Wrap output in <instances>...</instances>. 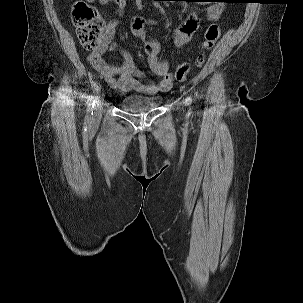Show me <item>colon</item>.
<instances>
[{"mask_svg": "<svg viewBox=\"0 0 303 303\" xmlns=\"http://www.w3.org/2000/svg\"><path fill=\"white\" fill-rule=\"evenodd\" d=\"M72 20L77 30V36L86 49H94L100 45L102 36L105 33V25L98 12L88 3L78 1L72 9ZM220 28L217 24H211L205 33V40L201 44L203 51L211 50L220 38ZM203 56L197 61L201 65ZM190 71L187 63H183L176 69L175 77L178 81H183Z\"/></svg>", "mask_w": 303, "mask_h": 303, "instance_id": "obj_1", "label": "colon"}]
</instances>
